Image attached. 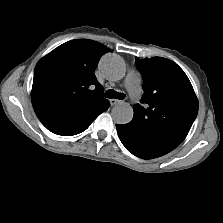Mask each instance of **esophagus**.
<instances>
[{"label": "esophagus", "mask_w": 223, "mask_h": 223, "mask_svg": "<svg viewBox=\"0 0 223 223\" xmlns=\"http://www.w3.org/2000/svg\"><path fill=\"white\" fill-rule=\"evenodd\" d=\"M121 101L120 100H117V99H110V104L111 106H114V105H117L119 104Z\"/></svg>", "instance_id": "1"}]
</instances>
